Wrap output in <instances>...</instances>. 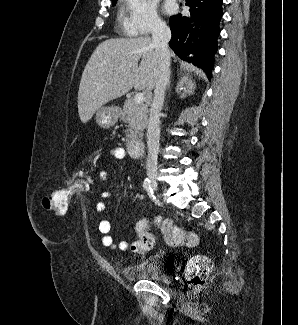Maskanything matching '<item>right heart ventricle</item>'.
Listing matches in <instances>:
<instances>
[{
  "instance_id": "right-heart-ventricle-1",
  "label": "right heart ventricle",
  "mask_w": 298,
  "mask_h": 325,
  "mask_svg": "<svg viewBox=\"0 0 298 325\" xmlns=\"http://www.w3.org/2000/svg\"><path fill=\"white\" fill-rule=\"evenodd\" d=\"M120 13L122 14V7H120Z\"/></svg>"
}]
</instances>
